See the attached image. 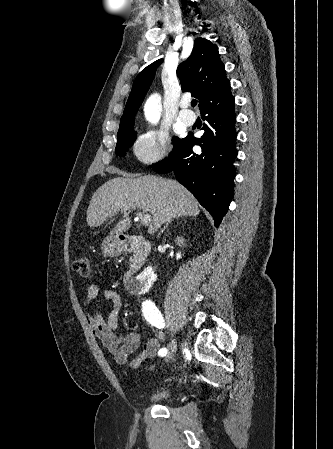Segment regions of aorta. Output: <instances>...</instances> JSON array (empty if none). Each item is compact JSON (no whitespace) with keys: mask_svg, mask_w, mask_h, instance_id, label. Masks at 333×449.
<instances>
[{"mask_svg":"<svg viewBox=\"0 0 333 449\" xmlns=\"http://www.w3.org/2000/svg\"><path fill=\"white\" fill-rule=\"evenodd\" d=\"M161 112V103L158 97H151L145 105V116L149 122L156 123L159 121Z\"/></svg>","mask_w":333,"mask_h":449,"instance_id":"1","label":"aorta"}]
</instances>
